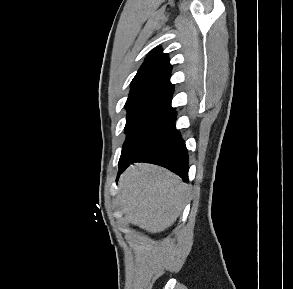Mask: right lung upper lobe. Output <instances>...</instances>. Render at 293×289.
<instances>
[{"label":"right lung upper lobe","instance_id":"right-lung-upper-lobe-1","mask_svg":"<svg viewBox=\"0 0 293 289\" xmlns=\"http://www.w3.org/2000/svg\"><path fill=\"white\" fill-rule=\"evenodd\" d=\"M171 70L168 54L160 48L153 49L133 78L127 101L158 100L170 104L174 91Z\"/></svg>","mask_w":293,"mask_h":289}]
</instances>
